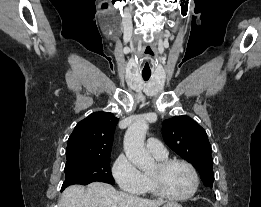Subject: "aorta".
Returning <instances> with one entry per match:
<instances>
[{
	"mask_svg": "<svg viewBox=\"0 0 261 207\" xmlns=\"http://www.w3.org/2000/svg\"><path fill=\"white\" fill-rule=\"evenodd\" d=\"M149 125L145 121H136L130 125L124 136V151L138 169L148 170L154 165V160L145 148V137Z\"/></svg>",
	"mask_w": 261,
	"mask_h": 207,
	"instance_id": "aorta-1",
	"label": "aorta"
}]
</instances>
